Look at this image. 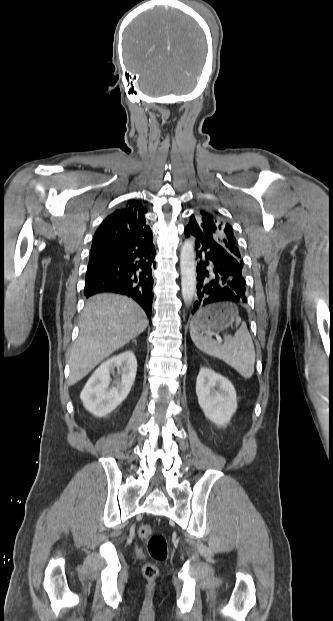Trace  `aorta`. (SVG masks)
I'll list each match as a JSON object with an SVG mask.
<instances>
[{"label":"aorta","mask_w":333,"mask_h":621,"mask_svg":"<svg viewBox=\"0 0 333 621\" xmlns=\"http://www.w3.org/2000/svg\"><path fill=\"white\" fill-rule=\"evenodd\" d=\"M182 297L186 306L192 303L196 289V264L194 246L186 240L180 252Z\"/></svg>","instance_id":"1"}]
</instances>
